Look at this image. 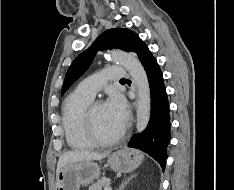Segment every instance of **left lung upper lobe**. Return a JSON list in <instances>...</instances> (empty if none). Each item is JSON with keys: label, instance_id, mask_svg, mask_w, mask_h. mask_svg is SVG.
<instances>
[{"label": "left lung upper lobe", "instance_id": "5c2ea615", "mask_svg": "<svg viewBox=\"0 0 234 190\" xmlns=\"http://www.w3.org/2000/svg\"><path fill=\"white\" fill-rule=\"evenodd\" d=\"M145 43L131 30L122 28L108 29L103 32L86 51L81 53L67 70L61 94L87 70L95 53L104 49H121L137 53Z\"/></svg>", "mask_w": 234, "mask_h": 190}]
</instances>
